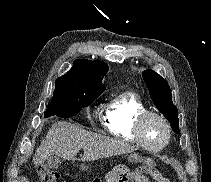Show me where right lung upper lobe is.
<instances>
[{"instance_id": "cb5924a9", "label": "right lung upper lobe", "mask_w": 211, "mask_h": 182, "mask_svg": "<svg viewBox=\"0 0 211 182\" xmlns=\"http://www.w3.org/2000/svg\"><path fill=\"white\" fill-rule=\"evenodd\" d=\"M108 72V65L103 61H89L78 59L73 63V67L60 78L71 80L75 83L89 85L98 90L104 91L102 77Z\"/></svg>"}]
</instances>
